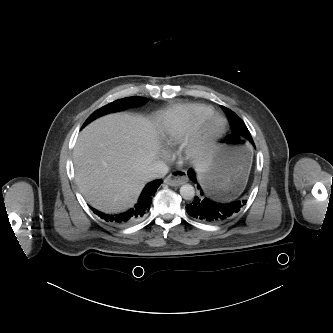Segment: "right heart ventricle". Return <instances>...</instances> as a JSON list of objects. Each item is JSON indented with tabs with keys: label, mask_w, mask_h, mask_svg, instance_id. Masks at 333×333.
<instances>
[{
	"label": "right heart ventricle",
	"mask_w": 333,
	"mask_h": 333,
	"mask_svg": "<svg viewBox=\"0 0 333 333\" xmlns=\"http://www.w3.org/2000/svg\"><path fill=\"white\" fill-rule=\"evenodd\" d=\"M214 110L205 104L194 103L180 105L164 113L161 137L168 146L183 142L191 133L195 124L208 117Z\"/></svg>",
	"instance_id": "right-heart-ventricle-1"
}]
</instances>
